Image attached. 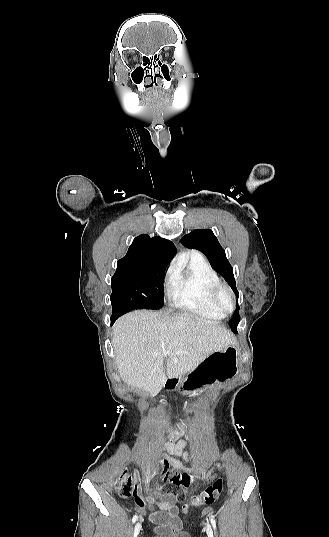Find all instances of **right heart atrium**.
I'll return each instance as SVG.
<instances>
[{"label":"right heart atrium","instance_id":"d8ad5b80","mask_svg":"<svg viewBox=\"0 0 329 537\" xmlns=\"http://www.w3.org/2000/svg\"><path fill=\"white\" fill-rule=\"evenodd\" d=\"M174 269L172 267L168 268L167 271H166V285H167V288L170 287L171 285V282H172V279H173V276H174Z\"/></svg>","mask_w":329,"mask_h":537}]
</instances>
